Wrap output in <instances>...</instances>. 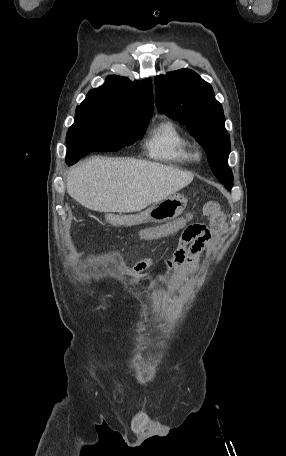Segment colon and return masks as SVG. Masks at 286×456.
<instances>
[{
	"label": "colon",
	"instance_id": "obj_1",
	"mask_svg": "<svg viewBox=\"0 0 286 456\" xmlns=\"http://www.w3.org/2000/svg\"><path fill=\"white\" fill-rule=\"evenodd\" d=\"M217 209H218V204H217L216 202H214V201H210V202H207V203L205 204V210H206L207 212L215 211V210H217Z\"/></svg>",
	"mask_w": 286,
	"mask_h": 456
}]
</instances>
